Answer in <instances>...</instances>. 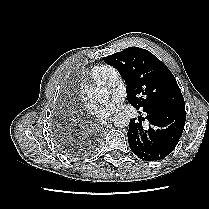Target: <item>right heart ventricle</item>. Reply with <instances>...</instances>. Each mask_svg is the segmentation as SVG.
<instances>
[{"label": "right heart ventricle", "mask_w": 209, "mask_h": 209, "mask_svg": "<svg viewBox=\"0 0 209 209\" xmlns=\"http://www.w3.org/2000/svg\"><path fill=\"white\" fill-rule=\"evenodd\" d=\"M111 70L112 67L108 65L95 66L91 70V77L99 83L106 84L107 75Z\"/></svg>", "instance_id": "obj_1"}]
</instances>
